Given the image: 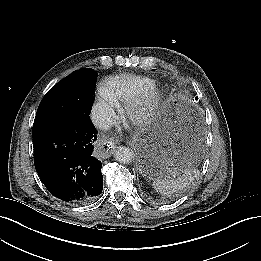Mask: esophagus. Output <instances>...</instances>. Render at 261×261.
I'll list each match as a JSON object with an SVG mask.
<instances>
[{
	"instance_id": "obj_1",
	"label": "esophagus",
	"mask_w": 261,
	"mask_h": 261,
	"mask_svg": "<svg viewBox=\"0 0 261 261\" xmlns=\"http://www.w3.org/2000/svg\"><path fill=\"white\" fill-rule=\"evenodd\" d=\"M110 143H111V145H112L111 148L114 149V142L111 141ZM112 154H113V152H112V150H110V147H108V148L105 150V152L102 153L103 157H105V158L110 157Z\"/></svg>"
}]
</instances>
